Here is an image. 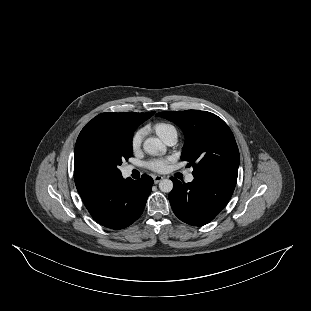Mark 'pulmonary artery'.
Listing matches in <instances>:
<instances>
[{
	"label": "pulmonary artery",
	"mask_w": 311,
	"mask_h": 311,
	"mask_svg": "<svg viewBox=\"0 0 311 311\" xmlns=\"http://www.w3.org/2000/svg\"><path fill=\"white\" fill-rule=\"evenodd\" d=\"M163 141L167 145H173L177 142V135L176 134H170L166 138H164ZM133 169H134V167H132V166L127 167L128 172H131ZM193 180H194V176L192 173H190L186 176V182H192Z\"/></svg>",
	"instance_id": "pulmonary-artery-1"
}]
</instances>
